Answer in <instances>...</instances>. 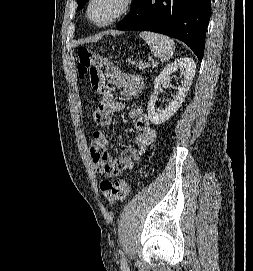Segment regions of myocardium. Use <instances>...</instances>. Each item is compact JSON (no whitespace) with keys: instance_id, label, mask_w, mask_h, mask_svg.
I'll use <instances>...</instances> for the list:
<instances>
[{"instance_id":"f54148a6","label":"myocardium","mask_w":253,"mask_h":271,"mask_svg":"<svg viewBox=\"0 0 253 271\" xmlns=\"http://www.w3.org/2000/svg\"><path fill=\"white\" fill-rule=\"evenodd\" d=\"M94 2H95V0H89V2H88L86 13H87V17H88L89 21L97 27H107V26L115 23L117 20H119L124 15H126L132 9L135 0H123L120 10L113 17H111L109 20H107L106 22H103V23H98V22L94 21L91 16V8H92V5Z\"/></svg>"}]
</instances>
